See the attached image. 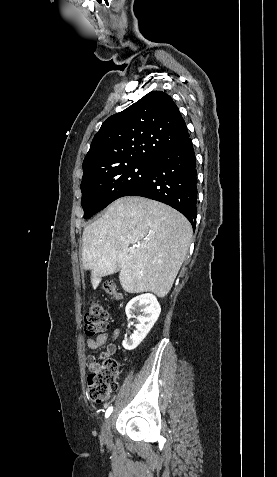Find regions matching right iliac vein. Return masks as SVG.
Returning <instances> with one entry per match:
<instances>
[{"label":"right iliac vein","instance_id":"obj_1","mask_svg":"<svg viewBox=\"0 0 277 477\" xmlns=\"http://www.w3.org/2000/svg\"><path fill=\"white\" fill-rule=\"evenodd\" d=\"M110 426H111V419L108 418L103 423V426H102V439L106 442H109L111 440Z\"/></svg>","mask_w":277,"mask_h":477}]
</instances>
